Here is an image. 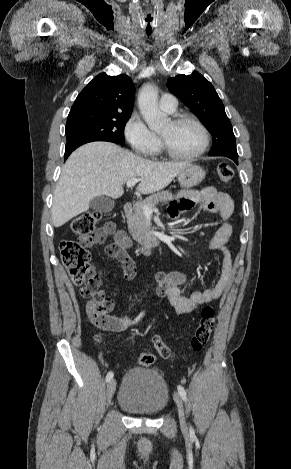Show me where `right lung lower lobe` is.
Returning <instances> with one entry per match:
<instances>
[{
  "instance_id": "98d812e1",
  "label": "right lung lower lobe",
  "mask_w": 291,
  "mask_h": 469,
  "mask_svg": "<svg viewBox=\"0 0 291 469\" xmlns=\"http://www.w3.org/2000/svg\"><path fill=\"white\" fill-rule=\"evenodd\" d=\"M92 141H110V140H107V139H77V140L68 141L66 143V147H65V160L68 158V156L76 148H78L79 146H81L85 143H89V142H92ZM110 142L117 143V142H114V141H110ZM117 144H119V143H117Z\"/></svg>"
}]
</instances>
